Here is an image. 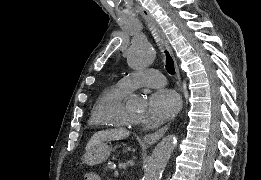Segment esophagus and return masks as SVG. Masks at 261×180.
Masks as SVG:
<instances>
[{
  "instance_id": "obj_1",
  "label": "esophagus",
  "mask_w": 261,
  "mask_h": 180,
  "mask_svg": "<svg viewBox=\"0 0 261 180\" xmlns=\"http://www.w3.org/2000/svg\"><path fill=\"white\" fill-rule=\"evenodd\" d=\"M141 12L143 13V15H146L149 20L151 21V23L154 25V28L156 29L157 33L159 34V36L161 37L163 43L165 44L166 48L169 50L170 54L172 55L173 57V60H174V68H175V72H176V75L178 77V79L180 80V71H179V68H178V64H177V61L176 59L174 58V55H173V52H172V49L167 41V38L165 36V34L163 33L161 27L159 26V24L156 22L155 18L148 12V10H144V9H141ZM169 128V125H166L165 127L163 128H160L159 130H157L156 132L154 133H149L147 135L144 136V141L146 143H148L149 145H153L154 143H156L161 137H163V135L165 134V132L168 130Z\"/></svg>"
}]
</instances>
